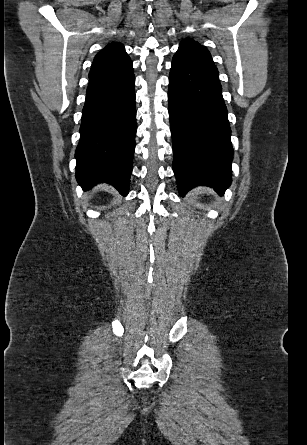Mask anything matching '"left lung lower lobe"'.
Segmentation results:
<instances>
[{
    "label": "left lung lower lobe",
    "mask_w": 307,
    "mask_h": 445,
    "mask_svg": "<svg viewBox=\"0 0 307 445\" xmlns=\"http://www.w3.org/2000/svg\"><path fill=\"white\" fill-rule=\"evenodd\" d=\"M173 170L184 196L205 185L223 195L231 184V129L218 78L174 56L169 76Z\"/></svg>",
    "instance_id": "1"
}]
</instances>
